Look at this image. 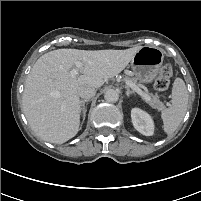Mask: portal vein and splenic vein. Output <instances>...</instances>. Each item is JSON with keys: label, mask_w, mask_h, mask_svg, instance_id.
I'll return each mask as SVG.
<instances>
[{"label": "portal vein and splenic vein", "mask_w": 201, "mask_h": 201, "mask_svg": "<svg viewBox=\"0 0 201 201\" xmlns=\"http://www.w3.org/2000/svg\"><path fill=\"white\" fill-rule=\"evenodd\" d=\"M83 64L80 61H76L75 62V66L74 68L70 71V75L71 77H76V75L79 73L80 69L82 68ZM125 83L134 89L135 92H137L142 99H144L145 101L150 100V96L145 94L144 92H142L141 89H139L138 87L133 86L129 81H125Z\"/></svg>", "instance_id": "portal-vein-and-splenic-vein-1"}]
</instances>
